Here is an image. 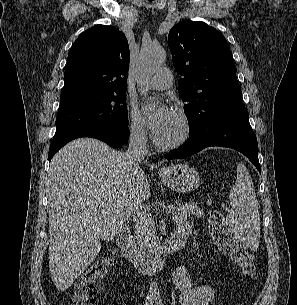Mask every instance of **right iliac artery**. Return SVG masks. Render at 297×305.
<instances>
[{"label":"right iliac artery","mask_w":297,"mask_h":305,"mask_svg":"<svg viewBox=\"0 0 297 305\" xmlns=\"http://www.w3.org/2000/svg\"><path fill=\"white\" fill-rule=\"evenodd\" d=\"M155 298L152 296H148L145 300L144 305H153Z\"/></svg>","instance_id":"right-iliac-artery-1"}]
</instances>
